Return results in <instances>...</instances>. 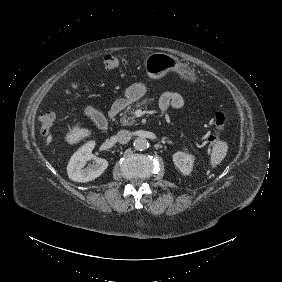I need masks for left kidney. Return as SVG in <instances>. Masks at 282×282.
<instances>
[{"mask_svg": "<svg viewBox=\"0 0 282 282\" xmlns=\"http://www.w3.org/2000/svg\"><path fill=\"white\" fill-rule=\"evenodd\" d=\"M173 160H174L175 166L180 169L182 174H185V175L189 174V172L192 169V165H193V158L191 156L186 155L182 152H177L173 156Z\"/></svg>", "mask_w": 282, "mask_h": 282, "instance_id": "1", "label": "left kidney"}]
</instances>
